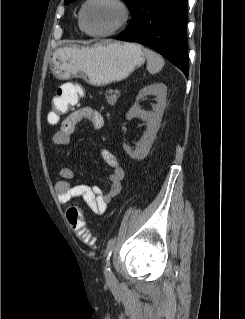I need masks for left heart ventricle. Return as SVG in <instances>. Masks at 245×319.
Returning <instances> with one entry per match:
<instances>
[{
	"label": "left heart ventricle",
	"instance_id": "b2bd125f",
	"mask_svg": "<svg viewBox=\"0 0 245 319\" xmlns=\"http://www.w3.org/2000/svg\"><path fill=\"white\" fill-rule=\"evenodd\" d=\"M120 10L106 2H95L88 6L84 22L90 32L107 31L114 27L120 20Z\"/></svg>",
	"mask_w": 245,
	"mask_h": 319
}]
</instances>
